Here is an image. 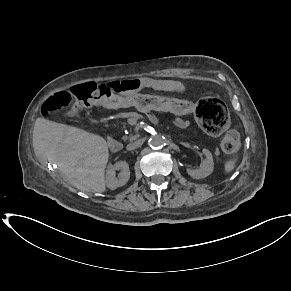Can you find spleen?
<instances>
[{
    "mask_svg": "<svg viewBox=\"0 0 291 291\" xmlns=\"http://www.w3.org/2000/svg\"><path fill=\"white\" fill-rule=\"evenodd\" d=\"M236 161H237V158L234 157L232 159H229L225 162V165H224V171L225 173H230L233 171V169L235 168L236 166Z\"/></svg>",
    "mask_w": 291,
    "mask_h": 291,
    "instance_id": "obj_1",
    "label": "spleen"
}]
</instances>
